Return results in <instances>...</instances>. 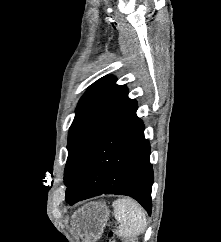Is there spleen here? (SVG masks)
Instances as JSON below:
<instances>
[{
	"mask_svg": "<svg viewBox=\"0 0 221 242\" xmlns=\"http://www.w3.org/2000/svg\"><path fill=\"white\" fill-rule=\"evenodd\" d=\"M114 215L119 222L116 231L120 237L134 238L146 229L145 213L140 205L133 199L121 198L113 203Z\"/></svg>",
	"mask_w": 221,
	"mask_h": 242,
	"instance_id": "1",
	"label": "spleen"
}]
</instances>
